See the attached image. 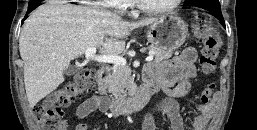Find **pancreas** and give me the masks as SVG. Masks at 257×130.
I'll use <instances>...</instances> for the list:
<instances>
[{"instance_id":"obj_1","label":"pancreas","mask_w":257,"mask_h":130,"mask_svg":"<svg viewBox=\"0 0 257 130\" xmlns=\"http://www.w3.org/2000/svg\"><path fill=\"white\" fill-rule=\"evenodd\" d=\"M147 49L153 52L155 61L169 59L173 54V50L156 46H149ZM106 85L116 100L124 99L128 93L132 92L134 87L131 69L128 66L115 65L112 68V73L106 79Z\"/></svg>"}]
</instances>
